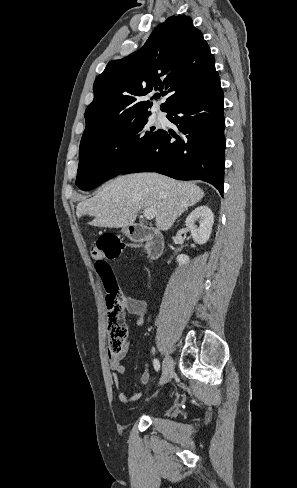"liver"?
Returning a JSON list of instances; mask_svg holds the SVG:
<instances>
[{
  "label": "liver",
  "mask_w": 297,
  "mask_h": 488,
  "mask_svg": "<svg viewBox=\"0 0 297 488\" xmlns=\"http://www.w3.org/2000/svg\"><path fill=\"white\" fill-rule=\"evenodd\" d=\"M203 196V190L195 184L158 173H136L107 182L94 197L77 205L76 214L78 218L93 216V226L126 228L134 223L140 209L153 208L157 228L168 230Z\"/></svg>",
  "instance_id": "liver-1"
}]
</instances>
